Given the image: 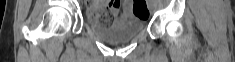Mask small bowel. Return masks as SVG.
<instances>
[{
	"instance_id": "small-bowel-1",
	"label": "small bowel",
	"mask_w": 235,
	"mask_h": 62,
	"mask_svg": "<svg viewBox=\"0 0 235 62\" xmlns=\"http://www.w3.org/2000/svg\"><path fill=\"white\" fill-rule=\"evenodd\" d=\"M101 2H94L90 5L89 9H88V17L90 20L94 21V22H98V12H99V6H100ZM112 20L113 18L118 14L119 8H120V1L116 0V1H109L108 3H106ZM131 10V3L129 1H126L124 4V11L126 13H129Z\"/></svg>"
}]
</instances>
